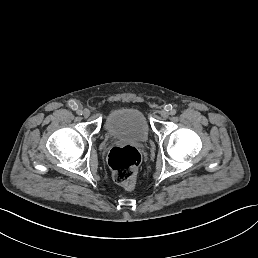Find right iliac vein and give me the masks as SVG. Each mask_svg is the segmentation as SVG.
Masks as SVG:
<instances>
[{
	"mask_svg": "<svg viewBox=\"0 0 258 258\" xmlns=\"http://www.w3.org/2000/svg\"><path fill=\"white\" fill-rule=\"evenodd\" d=\"M82 115H83L85 118H88V117L91 115V112H90L88 109H83V110H82Z\"/></svg>",
	"mask_w": 258,
	"mask_h": 258,
	"instance_id": "1",
	"label": "right iliac vein"
}]
</instances>
